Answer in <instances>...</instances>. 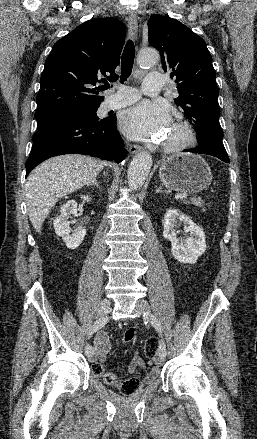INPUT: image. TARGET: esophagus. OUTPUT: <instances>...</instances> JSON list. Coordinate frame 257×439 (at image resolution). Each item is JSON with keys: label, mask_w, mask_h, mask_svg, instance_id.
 Masks as SVG:
<instances>
[{"label": "esophagus", "mask_w": 257, "mask_h": 439, "mask_svg": "<svg viewBox=\"0 0 257 439\" xmlns=\"http://www.w3.org/2000/svg\"><path fill=\"white\" fill-rule=\"evenodd\" d=\"M128 27H129V36L132 40H136L137 32H138V20L134 11L129 12L128 14ZM142 148L139 145H130L129 152L131 154H135L141 151Z\"/></svg>", "instance_id": "1"}]
</instances>
